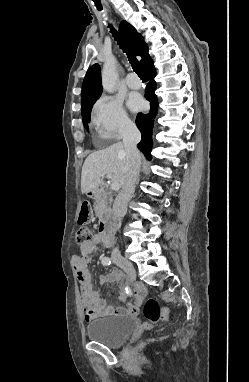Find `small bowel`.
I'll return each mask as SVG.
<instances>
[{"label":"small bowel","mask_w":249,"mask_h":382,"mask_svg":"<svg viewBox=\"0 0 249 382\" xmlns=\"http://www.w3.org/2000/svg\"><path fill=\"white\" fill-rule=\"evenodd\" d=\"M112 244V239L106 238L99 231L98 233L92 234L90 240L87 243L80 245V255H75L72 259V263L79 282L81 304L84 311V319L86 322H92L99 317L135 314L138 311V306L141 298L145 293L144 285L136 284L134 286L135 298L132 304L127 309H125L108 306L106 301L100 297L98 291L94 289L91 273L88 267L92 254L100 246L110 247ZM109 282H114L121 289H123L127 284V279L121 272L112 271L100 277L101 284ZM121 294H123V290H121Z\"/></svg>","instance_id":"c3829d8e"}]
</instances>
